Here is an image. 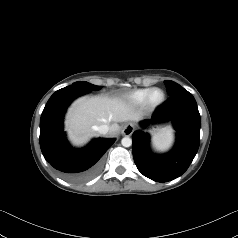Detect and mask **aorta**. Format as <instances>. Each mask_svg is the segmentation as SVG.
Wrapping results in <instances>:
<instances>
[{"mask_svg":"<svg viewBox=\"0 0 238 238\" xmlns=\"http://www.w3.org/2000/svg\"><path fill=\"white\" fill-rule=\"evenodd\" d=\"M121 144L122 146L124 147H130L132 145V139L130 137H124L122 140H121Z\"/></svg>","mask_w":238,"mask_h":238,"instance_id":"aorta-1","label":"aorta"}]
</instances>
